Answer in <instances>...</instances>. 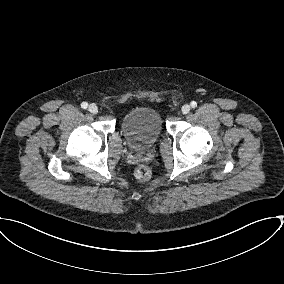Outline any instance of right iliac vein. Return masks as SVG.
Returning a JSON list of instances; mask_svg holds the SVG:
<instances>
[{
    "label": "right iliac vein",
    "instance_id": "obj_1",
    "mask_svg": "<svg viewBox=\"0 0 284 284\" xmlns=\"http://www.w3.org/2000/svg\"><path fill=\"white\" fill-rule=\"evenodd\" d=\"M88 111L92 114H96L98 112V107L95 104H90L88 107Z\"/></svg>",
    "mask_w": 284,
    "mask_h": 284
}]
</instances>
